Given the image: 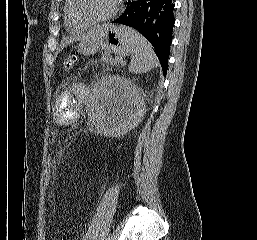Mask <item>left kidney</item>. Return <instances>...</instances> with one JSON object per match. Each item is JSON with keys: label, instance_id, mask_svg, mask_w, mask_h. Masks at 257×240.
<instances>
[{"label": "left kidney", "instance_id": "left-kidney-1", "mask_svg": "<svg viewBox=\"0 0 257 240\" xmlns=\"http://www.w3.org/2000/svg\"><path fill=\"white\" fill-rule=\"evenodd\" d=\"M144 113L142 92L126 78L108 75L94 86L90 118L99 133L125 134L141 122Z\"/></svg>", "mask_w": 257, "mask_h": 240}]
</instances>
